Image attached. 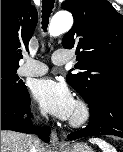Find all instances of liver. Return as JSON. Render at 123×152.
I'll use <instances>...</instances> for the list:
<instances>
[{
  "mask_svg": "<svg viewBox=\"0 0 123 152\" xmlns=\"http://www.w3.org/2000/svg\"><path fill=\"white\" fill-rule=\"evenodd\" d=\"M29 136L14 131H1V152H29ZM37 152H45L40 141L35 142Z\"/></svg>",
  "mask_w": 123,
  "mask_h": 152,
  "instance_id": "liver-1",
  "label": "liver"
}]
</instances>
